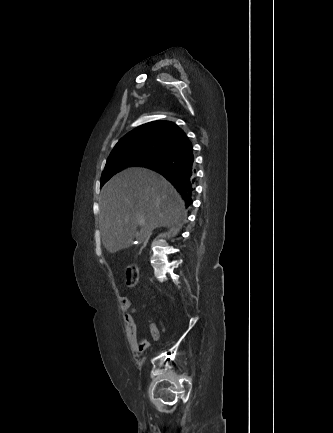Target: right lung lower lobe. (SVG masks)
I'll list each match as a JSON object with an SVG mask.
<instances>
[{"label":"right lung lower lobe","instance_id":"right-lung-lower-lobe-1","mask_svg":"<svg viewBox=\"0 0 333 433\" xmlns=\"http://www.w3.org/2000/svg\"><path fill=\"white\" fill-rule=\"evenodd\" d=\"M162 174L179 191L186 205L193 203L191 198L195 182V163L192 145L187 142L167 157L147 165Z\"/></svg>","mask_w":333,"mask_h":433}]
</instances>
